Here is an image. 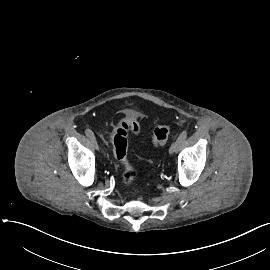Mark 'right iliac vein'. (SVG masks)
<instances>
[{
  "mask_svg": "<svg viewBox=\"0 0 270 270\" xmlns=\"http://www.w3.org/2000/svg\"><path fill=\"white\" fill-rule=\"evenodd\" d=\"M92 146L94 147V149L99 150V143L97 142L96 138H90Z\"/></svg>",
  "mask_w": 270,
  "mask_h": 270,
  "instance_id": "right-iliac-vein-1",
  "label": "right iliac vein"
}]
</instances>
